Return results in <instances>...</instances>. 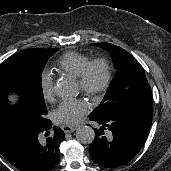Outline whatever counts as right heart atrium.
Here are the masks:
<instances>
[{
  "mask_svg": "<svg viewBox=\"0 0 171 171\" xmlns=\"http://www.w3.org/2000/svg\"><path fill=\"white\" fill-rule=\"evenodd\" d=\"M40 90L43 98L46 101L53 100L54 98L53 76L48 71H44L40 76Z\"/></svg>",
  "mask_w": 171,
  "mask_h": 171,
  "instance_id": "obj_1",
  "label": "right heart atrium"
}]
</instances>
